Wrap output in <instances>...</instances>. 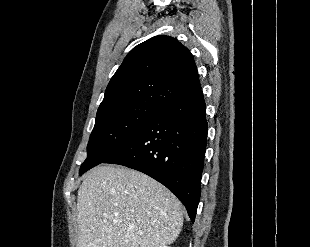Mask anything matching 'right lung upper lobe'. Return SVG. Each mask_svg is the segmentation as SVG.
I'll use <instances>...</instances> for the list:
<instances>
[{
    "instance_id": "cb5924a9",
    "label": "right lung upper lobe",
    "mask_w": 310,
    "mask_h": 247,
    "mask_svg": "<svg viewBox=\"0 0 310 247\" xmlns=\"http://www.w3.org/2000/svg\"><path fill=\"white\" fill-rule=\"evenodd\" d=\"M201 89L190 51L159 35L133 48L111 78L97 116L134 106L162 109Z\"/></svg>"
}]
</instances>
